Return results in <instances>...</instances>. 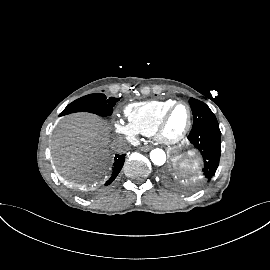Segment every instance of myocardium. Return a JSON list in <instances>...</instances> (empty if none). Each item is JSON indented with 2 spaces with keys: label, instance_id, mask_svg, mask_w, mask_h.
Masks as SVG:
<instances>
[{
  "label": "myocardium",
  "instance_id": "1",
  "mask_svg": "<svg viewBox=\"0 0 270 270\" xmlns=\"http://www.w3.org/2000/svg\"><path fill=\"white\" fill-rule=\"evenodd\" d=\"M181 105L185 106L187 108V111H188L187 124L180 134L173 136V137L167 136L165 133V128H166V124H167V121L169 119V116L176 107L181 106ZM192 118H193V115H192V109H191L190 105L184 101H176L170 107H168L165 110V112L162 114V116L160 117L158 124L156 126V130H155L156 139L160 143L165 144V145H175V144L180 143L181 141H183L186 138V136L188 135V133L191 130Z\"/></svg>",
  "mask_w": 270,
  "mask_h": 270
}]
</instances>
